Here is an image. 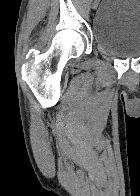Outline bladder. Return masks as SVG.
Masks as SVG:
<instances>
[{"instance_id": "bladder-1", "label": "bladder", "mask_w": 140, "mask_h": 196, "mask_svg": "<svg viewBox=\"0 0 140 196\" xmlns=\"http://www.w3.org/2000/svg\"><path fill=\"white\" fill-rule=\"evenodd\" d=\"M92 34L95 44L112 56L140 57V0H103Z\"/></svg>"}]
</instances>
